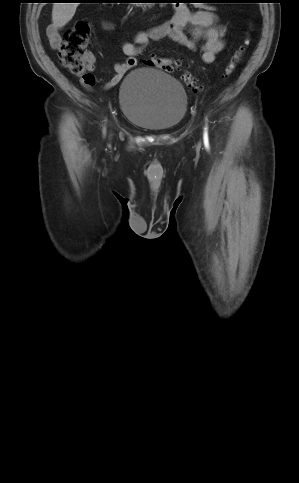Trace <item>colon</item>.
<instances>
[{"mask_svg":"<svg viewBox=\"0 0 299 483\" xmlns=\"http://www.w3.org/2000/svg\"><path fill=\"white\" fill-rule=\"evenodd\" d=\"M90 28L89 21H78L65 34L63 42L59 47V56L63 67L73 75L80 77L82 83L89 87L95 85L96 82L94 75L90 71H86V48L90 37ZM249 43L250 39L249 37H246L226 66L224 71L225 77H229L233 74L245 54ZM143 64L157 68L163 72H172L182 66V61L178 59L152 56L151 58L144 59ZM183 80L190 88L199 90V83L192 74L186 72L183 75Z\"/></svg>","mask_w":299,"mask_h":483,"instance_id":"1","label":"colon"}]
</instances>
